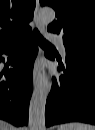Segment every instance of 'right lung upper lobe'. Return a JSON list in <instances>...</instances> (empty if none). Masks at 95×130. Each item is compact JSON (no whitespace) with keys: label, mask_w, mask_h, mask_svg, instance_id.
Here are the masks:
<instances>
[{"label":"right lung upper lobe","mask_w":95,"mask_h":130,"mask_svg":"<svg viewBox=\"0 0 95 130\" xmlns=\"http://www.w3.org/2000/svg\"><path fill=\"white\" fill-rule=\"evenodd\" d=\"M36 0H0V49L31 32Z\"/></svg>","instance_id":"right-lung-upper-lobe-1"}]
</instances>
